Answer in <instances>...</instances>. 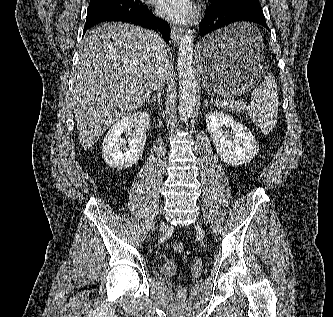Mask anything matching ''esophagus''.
Listing matches in <instances>:
<instances>
[{
  "mask_svg": "<svg viewBox=\"0 0 333 317\" xmlns=\"http://www.w3.org/2000/svg\"><path fill=\"white\" fill-rule=\"evenodd\" d=\"M183 35V29L180 27L173 26L171 29V38L174 44H179V41Z\"/></svg>",
  "mask_w": 333,
  "mask_h": 317,
  "instance_id": "esophagus-1",
  "label": "esophagus"
}]
</instances>
